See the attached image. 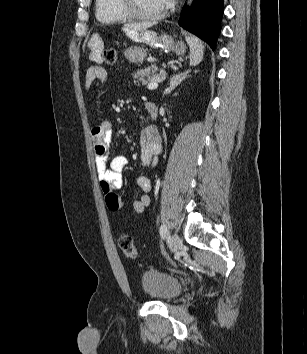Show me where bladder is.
Here are the masks:
<instances>
[{"instance_id": "31cf9c89", "label": "bladder", "mask_w": 307, "mask_h": 354, "mask_svg": "<svg viewBox=\"0 0 307 354\" xmlns=\"http://www.w3.org/2000/svg\"><path fill=\"white\" fill-rule=\"evenodd\" d=\"M141 287L147 297L156 301H170L180 295L183 285L174 276L158 269L145 271Z\"/></svg>"}]
</instances>
